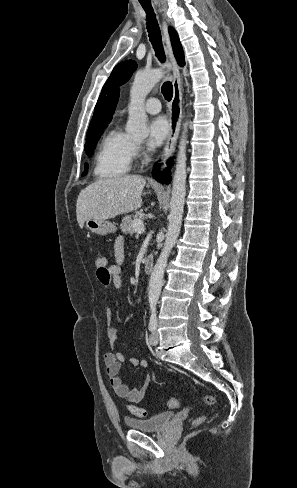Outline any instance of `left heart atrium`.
Returning <instances> with one entry per match:
<instances>
[{
    "label": "left heart atrium",
    "mask_w": 297,
    "mask_h": 488,
    "mask_svg": "<svg viewBox=\"0 0 297 488\" xmlns=\"http://www.w3.org/2000/svg\"><path fill=\"white\" fill-rule=\"evenodd\" d=\"M170 126L164 116H158L149 123V145L160 146L169 136Z\"/></svg>",
    "instance_id": "1"
}]
</instances>
